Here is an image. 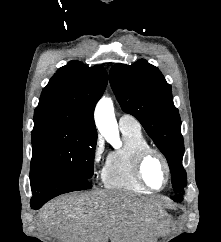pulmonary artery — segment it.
I'll return each mask as SVG.
<instances>
[{"label": "pulmonary artery", "mask_w": 221, "mask_h": 242, "mask_svg": "<svg viewBox=\"0 0 221 242\" xmlns=\"http://www.w3.org/2000/svg\"><path fill=\"white\" fill-rule=\"evenodd\" d=\"M120 128H129L133 130H141L139 122L132 116L128 114H123L119 118Z\"/></svg>", "instance_id": "pulmonary-artery-1"}]
</instances>
